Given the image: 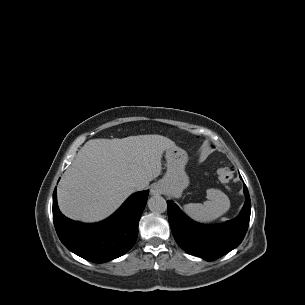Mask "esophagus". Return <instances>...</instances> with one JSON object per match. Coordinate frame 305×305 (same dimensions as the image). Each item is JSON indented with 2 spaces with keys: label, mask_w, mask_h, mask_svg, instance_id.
I'll return each mask as SVG.
<instances>
[{
  "label": "esophagus",
  "mask_w": 305,
  "mask_h": 305,
  "mask_svg": "<svg viewBox=\"0 0 305 305\" xmlns=\"http://www.w3.org/2000/svg\"><path fill=\"white\" fill-rule=\"evenodd\" d=\"M150 192L152 195H160L162 193V188L159 185L155 184L151 187Z\"/></svg>",
  "instance_id": "34e87169"
}]
</instances>
